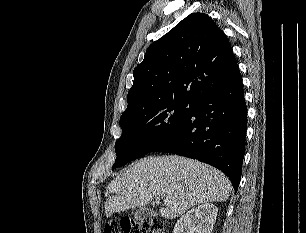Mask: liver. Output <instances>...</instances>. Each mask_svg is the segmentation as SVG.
Listing matches in <instances>:
<instances>
[{
    "mask_svg": "<svg viewBox=\"0 0 306 233\" xmlns=\"http://www.w3.org/2000/svg\"><path fill=\"white\" fill-rule=\"evenodd\" d=\"M231 190L222 172L197 160L176 155L148 157L109 183L105 215L144 207L154 196H161L168 201L160 215L173 219L193 206L226 201Z\"/></svg>",
    "mask_w": 306,
    "mask_h": 233,
    "instance_id": "liver-1",
    "label": "liver"
}]
</instances>
